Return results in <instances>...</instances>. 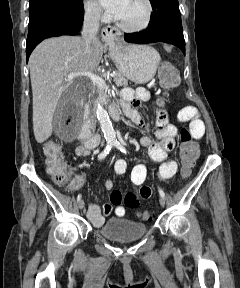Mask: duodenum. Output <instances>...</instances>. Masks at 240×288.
I'll return each instance as SVG.
<instances>
[{
	"label": "duodenum",
	"mask_w": 240,
	"mask_h": 288,
	"mask_svg": "<svg viewBox=\"0 0 240 288\" xmlns=\"http://www.w3.org/2000/svg\"><path fill=\"white\" fill-rule=\"evenodd\" d=\"M109 111L114 119H118L121 115V110L116 103L110 105ZM79 138L89 148H94L98 144V137L93 134V118L89 108L84 110V125Z\"/></svg>",
	"instance_id": "1"
}]
</instances>
